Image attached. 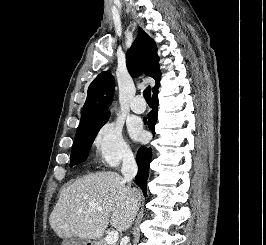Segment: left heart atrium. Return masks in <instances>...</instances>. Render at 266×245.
Listing matches in <instances>:
<instances>
[{
  "label": "left heart atrium",
  "instance_id": "39dd6f15",
  "mask_svg": "<svg viewBox=\"0 0 266 245\" xmlns=\"http://www.w3.org/2000/svg\"><path fill=\"white\" fill-rule=\"evenodd\" d=\"M128 131H129L130 136L135 140H140L144 135L141 124L136 121L131 122L128 125Z\"/></svg>",
  "mask_w": 266,
  "mask_h": 245
}]
</instances>
